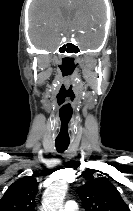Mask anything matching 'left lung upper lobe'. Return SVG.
<instances>
[{"label":"left lung upper lobe","mask_w":133,"mask_h":211,"mask_svg":"<svg viewBox=\"0 0 133 211\" xmlns=\"http://www.w3.org/2000/svg\"><path fill=\"white\" fill-rule=\"evenodd\" d=\"M86 176L93 177V172ZM86 211H130L116 187L103 178H96L77 188Z\"/></svg>","instance_id":"left-lung-upper-lobe-1"}]
</instances>
